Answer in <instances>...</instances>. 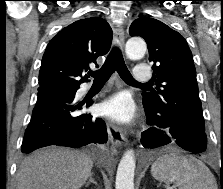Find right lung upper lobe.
Instances as JSON below:
<instances>
[{"label": "right lung upper lobe", "mask_w": 223, "mask_h": 189, "mask_svg": "<svg viewBox=\"0 0 223 189\" xmlns=\"http://www.w3.org/2000/svg\"><path fill=\"white\" fill-rule=\"evenodd\" d=\"M112 29L100 17L78 20L63 28L46 47L39 71V92L71 90L88 81L81 77L111 46Z\"/></svg>", "instance_id": "right-lung-upper-lobe-1"}]
</instances>
